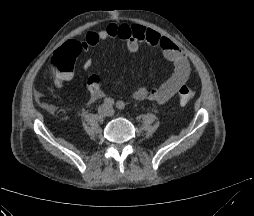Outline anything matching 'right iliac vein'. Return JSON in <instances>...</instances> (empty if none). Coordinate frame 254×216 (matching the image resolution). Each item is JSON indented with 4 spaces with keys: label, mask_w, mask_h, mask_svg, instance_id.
Instances as JSON below:
<instances>
[{
    "label": "right iliac vein",
    "mask_w": 254,
    "mask_h": 216,
    "mask_svg": "<svg viewBox=\"0 0 254 216\" xmlns=\"http://www.w3.org/2000/svg\"><path fill=\"white\" fill-rule=\"evenodd\" d=\"M108 111H109V108H108V106H106V105H102V106H100L99 107V109H98V113H99V115L100 116H106L107 115V113H108Z\"/></svg>",
    "instance_id": "1"
}]
</instances>
